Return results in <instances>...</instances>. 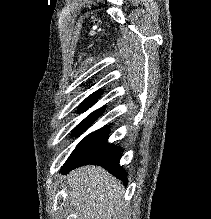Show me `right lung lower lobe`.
<instances>
[{
    "label": "right lung lower lobe",
    "instance_id": "1",
    "mask_svg": "<svg viewBox=\"0 0 211 219\" xmlns=\"http://www.w3.org/2000/svg\"><path fill=\"white\" fill-rule=\"evenodd\" d=\"M107 138V127L88 135L72 152L61 172L66 173L87 164L101 165L126 184V172L119 164L121 149L109 144Z\"/></svg>",
    "mask_w": 211,
    "mask_h": 219
}]
</instances>
